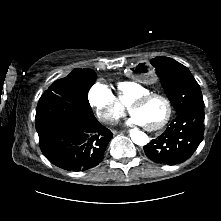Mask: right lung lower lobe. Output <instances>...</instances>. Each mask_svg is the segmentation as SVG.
I'll list each match as a JSON object with an SVG mask.
<instances>
[{
    "mask_svg": "<svg viewBox=\"0 0 221 221\" xmlns=\"http://www.w3.org/2000/svg\"><path fill=\"white\" fill-rule=\"evenodd\" d=\"M113 134L97 119L83 124L68 122L56 131L39 137L44 156L68 171H85L97 166Z\"/></svg>",
    "mask_w": 221,
    "mask_h": 221,
    "instance_id": "1",
    "label": "right lung lower lobe"
}]
</instances>
